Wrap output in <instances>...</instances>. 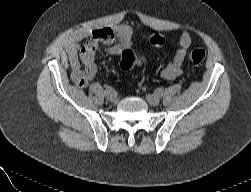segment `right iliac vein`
I'll return each instance as SVG.
<instances>
[{
	"label": "right iliac vein",
	"instance_id": "1",
	"mask_svg": "<svg viewBox=\"0 0 251 192\" xmlns=\"http://www.w3.org/2000/svg\"><path fill=\"white\" fill-rule=\"evenodd\" d=\"M106 96L110 102H116V100H117V96L114 92L107 94Z\"/></svg>",
	"mask_w": 251,
	"mask_h": 192
}]
</instances>
